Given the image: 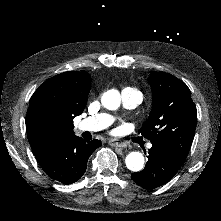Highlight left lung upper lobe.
<instances>
[{
    "label": "left lung upper lobe",
    "instance_id": "5c2ea615",
    "mask_svg": "<svg viewBox=\"0 0 221 221\" xmlns=\"http://www.w3.org/2000/svg\"><path fill=\"white\" fill-rule=\"evenodd\" d=\"M149 83L153 94L152 110L138 133L151 143L167 146L185 160L197 121L191 92L183 81L165 72H151Z\"/></svg>",
    "mask_w": 221,
    "mask_h": 221
}]
</instances>
